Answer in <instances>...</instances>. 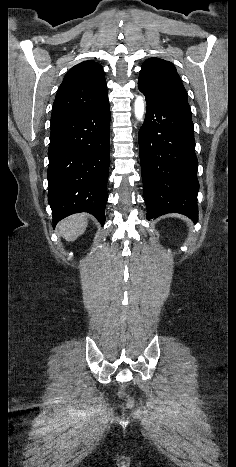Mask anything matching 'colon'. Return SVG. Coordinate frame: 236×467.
Wrapping results in <instances>:
<instances>
[{
    "mask_svg": "<svg viewBox=\"0 0 236 467\" xmlns=\"http://www.w3.org/2000/svg\"><path fill=\"white\" fill-rule=\"evenodd\" d=\"M120 396H121V397H125V393H124V391H123V390H122V391H120Z\"/></svg>",
    "mask_w": 236,
    "mask_h": 467,
    "instance_id": "colon-1",
    "label": "colon"
}]
</instances>
